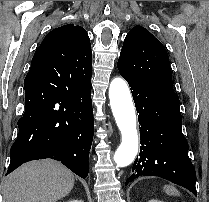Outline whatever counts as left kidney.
I'll list each match as a JSON object with an SVG mask.
<instances>
[{
    "instance_id": "obj_1",
    "label": "left kidney",
    "mask_w": 209,
    "mask_h": 202,
    "mask_svg": "<svg viewBox=\"0 0 209 202\" xmlns=\"http://www.w3.org/2000/svg\"><path fill=\"white\" fill-rule=\"evenodd\" d=\"M148 202H163V201L157 200V199H151V200H149Z\"/></svg>"
}]
</instances>
